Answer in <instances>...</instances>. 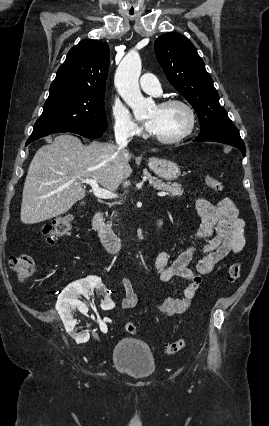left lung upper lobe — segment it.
<instances>
[{"mask_svg":"<svg viewBox=\"0 0 269 426\" xmlns=\"http://www.w3.org/2000/svg\"><path fill=\"white\" fill-rule=\"evenodd\" d=\"M154 50L168 81L196 111L201 127L199 135L212 136L235 127L219 104L213 80L189 40L179 33L169 32L156 39Z\"/></svg>","mask_w":269,"mask_h":426,"instance_id":"5c2ea615","label":"left lung upper lobe"}]
</instances>
